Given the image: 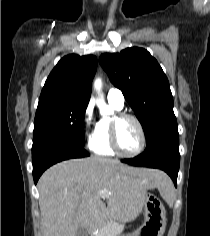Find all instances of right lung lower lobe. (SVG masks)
I'll return each instance as SVG.
<instances>
[{
  "mask_svg": "<svg viewBox=\"0 0 210 236\" xmlns=\"http://www.w3.org/2000/svg\"><path fill=\"white\" fill-rule=\"evenodd\" d=\"M89 156L83 146L76 143L46 139L34 142L32 146L33 178L36 184L41 174L51 165L71 159Z\"/></svg>",
  "mask_w": 210,
  "mask_h": 236,
  "instance_id": "1",
  "label": "right lung lower lobe"
}]
</instances>
